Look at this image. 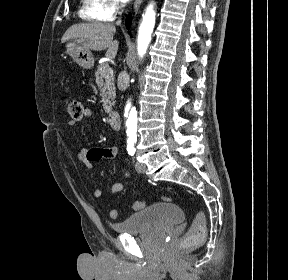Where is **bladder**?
<instances>
[{
    "mask_svg": "<svg viewBox=\"0 0 288 280\" xmlns=\"http://www.w3.org/2000/svg\"><path fill=\"white\" fill-rule=\"evenodd\" d=\"M184 219L182 209L172 203H157L145 207L127 219L114 224L113 230L122 234H136L170 228Z\"/></svg>",
    "mask_w": 288,
    "mask_h": 280,
    "instance_id": "obj_1",
    "label": "bladder"
}]
</instances>
